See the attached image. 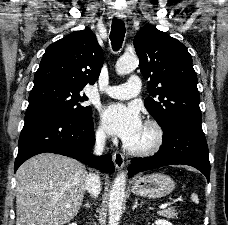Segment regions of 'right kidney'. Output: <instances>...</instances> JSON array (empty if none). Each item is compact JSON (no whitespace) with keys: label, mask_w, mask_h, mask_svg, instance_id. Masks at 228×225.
<instances>
[{"label":"right kidney","mask_w":228,"mask_h":225,"mask_svg":"<svg viewBox=\"0 0 228 225\" xmlns=\"http://www.w3.org/2000/svg\"><path fill=\"white\" fill-rule=\"evenodd\" d=\"M72 225H76V223H72Z\"/></svg>","instance_id":"ca27d5eb"}]
</instances>
